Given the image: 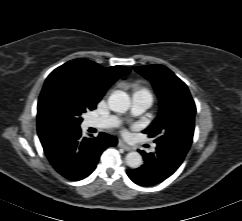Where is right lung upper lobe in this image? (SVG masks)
I'll return each instance as SVG.
<instances>
[{"label": "right lung upper lobe", "mask_w": 242, "mask_h": 221, "mask_svg": "<svg viewBox=\"0 0 242 221\" xmlns=\"http://www.w3.org/2000/svg\"><path fill=\"white\" fill-rule=\"evenodd\" d=\"M130 72L122 66L103 67L87 59H75L56 68L46 79L38 101L37 129L40 140L55 133L52 125V97L65 93L81 97L88 104H97L107 89Z\"/></svg>", "instance_id": "cb5924a9"}]
</instances>
